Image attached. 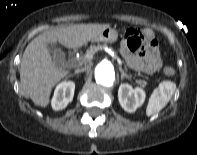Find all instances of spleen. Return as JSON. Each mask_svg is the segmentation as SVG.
<instances>
[{
    "label": "spleen",
    "mask_w": 197,
    "mask_h": 155,
    "mask_svg": "<svg viewBox=\"0 0 197 155\" xmlns=\"http://www.w3.org/2000/svg\"><path fill=\"white\" fill-rule=\"evenodd\" d=\"M176 89V84L171 81H162L151 94L147 106L146 115L151 116L161 111L170 101Z\"/></svg>",
    "instance_id": "3e777b00"
}]
</instances>
